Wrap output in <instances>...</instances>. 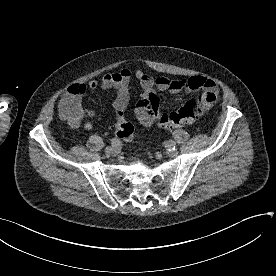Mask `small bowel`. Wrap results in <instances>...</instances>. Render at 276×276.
<instances>
[{
    "label": "small bowel",
    "instance_id": "1",
    "mask_svg": "<svg viewBox=\"0 0 276 276\" xmlns=\"http://www.w3.org/2000/svg\"><path fill=\"white\" fill-rule=\"evenodd\" d=\"M132 76L133 72L130 69L123 68L116 72L103 74L99 81L91 80L87 85L84 83L72 85L68 88L66 94L60 101V111L62 112L67 106L77 108L79 112L78 117L74 120H67L70 126L77 128L82 123V119L85 115L90 117L97 115L96 110L87 109L83 106V98L87 91L89 90L95 93L109 89L117 91L116 99L113 102L114 109L116 111H123L127 108L130 100L129 85ZM134 76L139 81L144 96L152 92L154 87L160 91H169L171 93L202 90L203 92L198 99L202 111L210 109L217 102L220 93L217 83L204 76H191L180 79H171L165 76L153 78L142 70H137ZM139 119L143 124L151 125L143 122L140 117ZM83 126L85 129H91L92 124L86 121L83 123Z\"/></svg>",
    "mask_w": 276,
    "mask_h": 276
}]
</instances>
